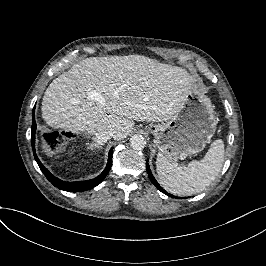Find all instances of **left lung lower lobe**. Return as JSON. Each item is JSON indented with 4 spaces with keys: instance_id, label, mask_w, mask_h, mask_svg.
Wrapping results in <instances>:
<instances>
[{
    "instance_id": "left-lung-lower-lobe-1",
    "label": "left lung lower lobe",
    "mask_w": 266,
    "mask_h": 266,
    "mask_svg": "<svg viewBox=\"0 0 266 266\" xmlns=\"http://www.w3.org/2000/svg\"><path fill=\"white\" fill-rule=\"evenodd\" d=\"M146 169H147L148 176H149L151 182L153 183V185H154L155 187H157V188H158L161 192H163L164 194H166V195H168V196L174 198V196H172L171 194H168L164 189H162V187H161V186L158 184V182L155 180V178H154V176L152 175V172H151V170H150V167H149V164H148V160H147V162H146Z\"/></svg>"
}]
</instances>
